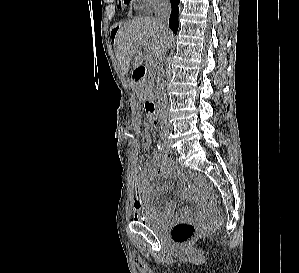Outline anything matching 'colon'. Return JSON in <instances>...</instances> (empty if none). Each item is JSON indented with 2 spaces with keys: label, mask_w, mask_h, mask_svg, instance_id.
Wrapping results in <instances>:
<instances>
[{
  "label": "colon",
  "mask_w": 299,
  "mask_h": 273,
  "mask_svg": "<svg viewBox=\"0 0 299 273\" xmlns=\"http://www.w3.org/2000/svg\"><path fill=\"white\" fill-rule=\"evenodd\" d=\"M151 135L144 134L143 149L148 150L151 147ZM206 212L210 218L209 222L191 223L178 222L171 229V238L178 245H185L191 242L195 237L206 234L211 228L219 224L218 201L214 196H208L205 200Z\"/></svg>",
  "instance_id": "5ec220e1"
}]
</instances>
